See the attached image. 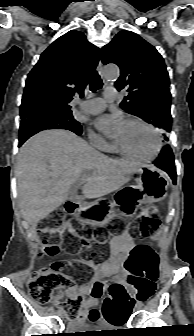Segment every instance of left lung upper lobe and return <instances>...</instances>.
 Returning a JSON list of instances; mask_svg holds the SVG:
<instances>
[{
    "instance_id": "obj_1",
    "label": "left lung upper lobe",
    "mask_w": 194,
    "mask_h": 336,
    "mask_svg": "<svg viewBox=\"0 0 194 336\" xmlns=\"http://www.w3.org/2000/svg\"><path fill=\"white\" fill-rule=\"evenodd\" d=\"M104 64L115 63L121 75L116 88L129 94L120 106L154 126L171 131L169 76L160 53L139 35L120 31L102 48ZM168 141V138L165 137Z\"/></svg>"
}]
</instances>
